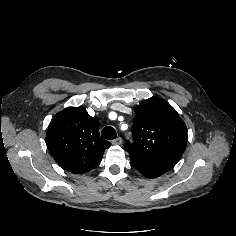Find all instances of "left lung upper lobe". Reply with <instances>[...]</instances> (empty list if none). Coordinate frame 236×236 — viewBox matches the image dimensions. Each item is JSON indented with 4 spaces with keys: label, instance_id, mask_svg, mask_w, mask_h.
Wrapping results in <instances>:
<instances>
[{
    "label": "left lung upper lobe",
    "instance_id": "left-lung-upper-lobe-1",
    "mask_svg": "<svg viewBox=\"0 0 236 236\" xmlns=\"http://www.w3.org/2000/svg\"><path fill=\"white\" fill-rule=\"evenodd\" d=\"M134 143H125L131 165L148 178H156L181 158L187 144V127L165 100L151 97L135 108Z\"/></svg>",
    "mask_w": 236,
    "mask_h": 236
}]
</instances>
